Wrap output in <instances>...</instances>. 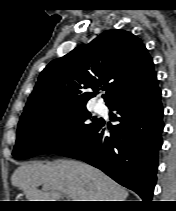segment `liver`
I'll use <instances>...</instances> for the list:
<instances>
[{"label": "liver", "instance_id": "6515ba94", "mask_svg": "<svg viewBox=\"0 0 176 211\" xmlns=\"http://www.w3.org/2000/svg\"><path fill=\"white\" fill-rule=\"evenodd\" d=\"M28 201H125L128 192L97 168L76 160L31 162L19 166L11 177ZM43 185L44 191L38 189Z\"/></svg>", "mask_w": 176, "mask_h": 211}]
</instances>
